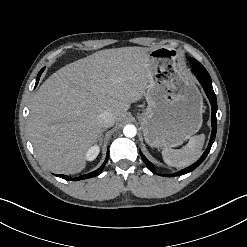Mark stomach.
I'll return each mask as SVG.
<instances>
[{
	"instance_id": "stomach-1",
	"label": "stomach",
	"mask_w": 247,
	"mask_h": 247,
	"mask_svg": "<svg viewBox=\"0 0 247 247\" xmlns=\"http://www.w3.org/2000/svg\"><path fill=\"white\" fill-rule=\"evenodd\" d=\"M149 66L148 106L139 115L144 138L152 147H176L199 131L202 95L183 71L174 49L159 47L150 51Z\"/></svg>"
}]
</instances>
